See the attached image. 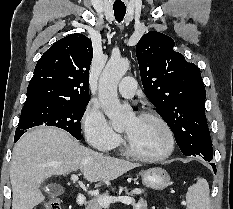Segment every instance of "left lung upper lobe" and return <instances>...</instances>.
I'll return each mask as SVG.
<instances>
[{
	"label": "left lung upper lobe",
	"mask_w": 233,
	"mask_h": 209,
	"mask_svg": "<svg viewBox=\"0 0 233 209\" xmlns=\"http://www.w3.org/2000/svg\"><path fill=\"white\" fill-rule=\"evenodd\" d=\"M174 45L171 37L155 31L138 42L136 56L144 90L184 155L212 157L200 70L174 51Z\"/></svg>",
	"instance_id": "1"
}]
</instances>
